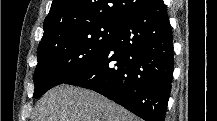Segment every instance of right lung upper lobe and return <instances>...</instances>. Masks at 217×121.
<instances>
[{
  "mask_svg": "<svg viewBox=\"0 0 217 121\" xmlns=\"http://www.w3.org/2000/svg\"><path fill=\"white\" fill-rule=\"evenodd\" d=\"M150 0H53L44 20L39 47L55 41L78 27L100 23H121Z\"/></svg>",
  "mask_w": 217,
  "mask_h": 121,
  "instance_id": "cb5924a9",
  "label": "right lung upper lobe"
}]
</instances>
